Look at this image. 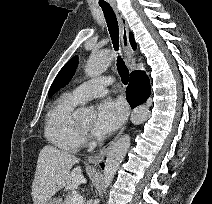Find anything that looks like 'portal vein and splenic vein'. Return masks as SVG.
<instances>
[{
  "label": "portal vein and splenic vein",
  "instance_id": "obj_1",
  "mask_svg": "<svg viewBox=\"0 0 212 204\" xmlns=\"http://www.w3.org/2000/svg\"><path fill=\"white\" fill-rule=\"evenodd\" d=\"M83 203H84V199L81 195L79 194L72 195L70 199V204H83Z\"/></svg>",
  "mask_w": 212,
  "mask_h": 204
}]
</instances>
